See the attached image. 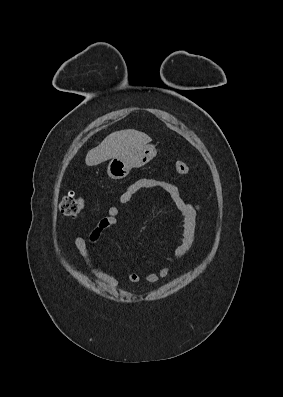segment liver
Wrapping results in <instances>:
<instances>
[{
  "label": "liver",
  "instance_id": "liver-1",
  "mask_svg": "<svg viewBox=\"0 0 283 397\" xmlns=\"http://www.w3.org/2000/svg\"><path fill=\"white\" fill-rule=\"evenodd\" d=\"M150 141L147 134L133 129L113 132L87 153L86 165L95 166L109 159L128 156Z\"/></svg>",
  "mask_w": 283,
  "mask_h": 397
}]
</instances>
